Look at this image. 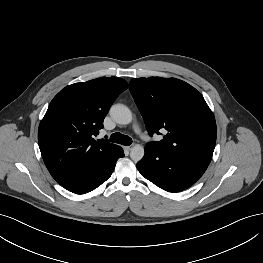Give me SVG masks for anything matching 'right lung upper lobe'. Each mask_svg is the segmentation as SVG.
<instances>
[{"label":"right lung upper lobe","mask_w":263,"mask_h":263,"mask_svg":"<svg viewBox=\"0 0 263 263\" xmlns=\"http://www.w3.org/2000/svg\"><path fill=\"white\" fill-rule=\"evenodd\" d=\"M127 87L122 78H97L69 85L53 98L40 122L38 142L47 169L60 185L119 149L107 139L94 137L113 101Z\"/></svg>","instance_id":"obj_1"}]
</instances>
